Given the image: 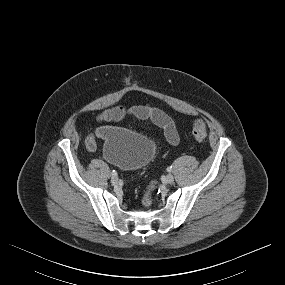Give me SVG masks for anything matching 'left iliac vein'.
Returning <instances> with one entry per match:
<instances>
[{
  "mask_svg": "<svg viewBox=\"0 0 285 285\" xmlns=\"http://www.w3.org/2000/svg\"><path fill=\"white\" fill-rule=\"evenodd\" d=\"M166 182H167L168 184H172V183L174 182V177H173V175L168 174V175L166 176Z\"/></svg>",
  "mask_w": 285,
  "mask_h": 285,
  "instance_id": "left-iliac-vein-1",
  "label": "left iliac vein"
}]
</instances>
